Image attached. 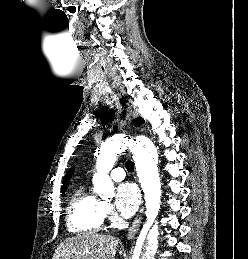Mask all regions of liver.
I'll return each instance as SVG.
<instances>
[{"label": "liver", "instance_id": "obj_1", "mask_svg": "<svg viewBox=\"0 0 248 259\" xmlns=\"http://www.w3.org/2000/svg\"><path fill=\"white\" fill-rule=\"evenodd\" d=\"M118 243L114 236L86 233L62 242L52 259H115Z\"/></svg>", "mask_w": 248, "mask_h": 259}]
</instances>
